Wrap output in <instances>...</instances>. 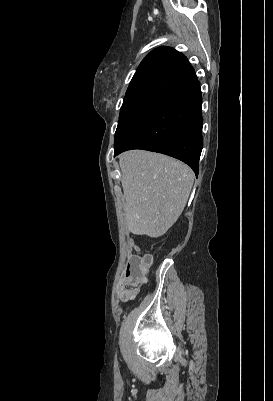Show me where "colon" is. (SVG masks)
<instances>
[{
    "mask_svg": "<svg viewBox=\"0 0 273 401\" xmlns=\"http://www.w3.org/2000/svg\"><path fill=\"white\" fill-rule=\"evenodd\" d=\"M149 263L148 257H127L126 265L128 266L125 274V278H120L118 284L120 287L116 290L118 297H133L135 293L141 291L139 282H143L146 276L149 275Z\"/></svg>",
    "mask_w": 273,
    "mask_h": 401,
    "instance_id": "1",
    "label": "colon"
}]
</instances>
